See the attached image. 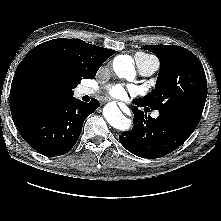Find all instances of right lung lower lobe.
<instances>
[{
  "label": "right lung lower lobe",
  "mask_w": 221,
  "mask_h": 221,
  "mask_svg": "<svg viewBox=\"0 0 221 221\" xmlns=\"http://www.w3.org/2000/svg\"><path fill=\"white\" fill-rule=\"evenodd\" d=\"M100 106L75 98L63 102L31 106L13 115L14 123L24 140L42 155L60 156L77 142L85 119Z\"/></svg>",
  "instance_id": "obj_1"
}]
</instances>
